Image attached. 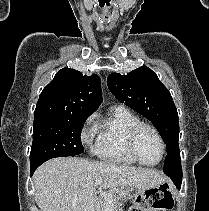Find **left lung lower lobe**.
<instances>
[{
    "instance_id": "0a47b994",
    "label": "left lung lower lobe",
    "mask_w": 209,
    "mask_h": 211,
    "mask_svg": "<svg viewBox=\"0 0 209 211\" xmlns=\"http://www.w3.org/2000/svg\"><path fill=\"white\" fill-rule=\"evenodd\" d=\"M168 175L172 181L175 183L178 189L181 187L182 183V172L176 173V174H166Z\"/></svg>"
}]
</instances>
